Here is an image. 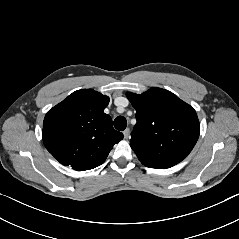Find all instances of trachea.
Here are the masks:
<instances>
[{
    "label": "trachea",
    "mask_w": 239,
    "mask_h": 239,
    "mask_svg": "<svg viewBox=\"0 0 239 239\" xmlns=\"http://www.w3.org/2000/svg\"><path fill=\"white\" fill-rule=\"evenodd\" d=\"M127 126V121L126 118L123 116H118L115 118L114 120V127L119 130V131H123L125 130Z\"/></svg>",
    "instance_id": "obj_1"
}]
</instances>
